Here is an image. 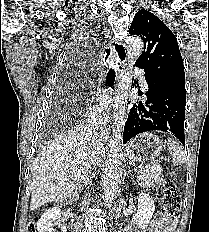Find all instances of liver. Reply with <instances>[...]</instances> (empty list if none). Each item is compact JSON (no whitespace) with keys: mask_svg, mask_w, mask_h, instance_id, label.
I'll return each instance as SVG.
<instances>
[{"mask_svg":"<svg viewBox=\"0 0 209 232\" xmlns=\"http://www.w3.org/2000/svg\"><path fill=\"white\" fill-rule=\"evenodd\" d=\"M103 150L86 126L77 125L56 137L33 162L30 209L74 196Z\"/></svg>","mask_w":209,"mask_h":232,"instance_id":"6515ba94","label":"liver"}]
</instances>
